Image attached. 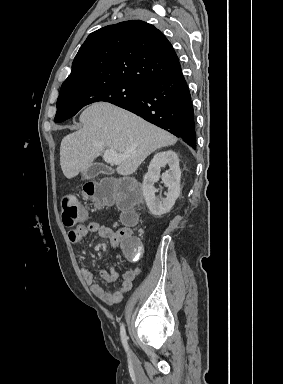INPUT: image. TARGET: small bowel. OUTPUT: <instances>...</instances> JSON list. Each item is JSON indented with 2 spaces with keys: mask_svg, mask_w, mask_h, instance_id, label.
Returning a JSON list of instances; mask_svg holds the SVG:
<instances>
[{
  "mask_svg": "<svg viewBox=\"0 0 283 384\" xmlns=\"http://www.w3.org/2000/svg\"><path fill=\"white\" fill-rule=\"evenodd\" d=\"M97 234L101 238L110 239L113 246H116L119 239L113 230L96 221L88 224H81L69 231V240L72 243H80L88 234ZM84 281L89 285L91 292L107 305H115L123 299V297L131 290L134 279L140 274V268H129L122 275V281L119 287L114 291H105L101 285L96 283L92 272L83 267L81 269ZM99 278L107 283H114L119 278L118 271L111 267L110 269H102L99 272Z\"/></svg>",
  "mask_w": 283,
  "mask_h": 384,
  "instance_id": "c3829d8e",
  "label": "small bowel"
}]
</instances>
